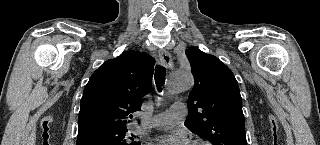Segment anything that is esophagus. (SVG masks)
Segmentation results:
<instances>
[{
  "instance_id": "obj_1",
  "label": "esophagus",
  "mask_w": 320,
  "mask_h": 145,
  "mask_svg": "<svg viewBox=\"0 0 320 145\" xmlns=\"http://www.w3.org/2000/svg\"><path fill=\"white\" fill-rule=\"evenodd\" d=\"M159 59L160 61L168 68H171L173 65L172 58L170 53L166 49L159 50Z\"/></svg>"
}]
</instances>
